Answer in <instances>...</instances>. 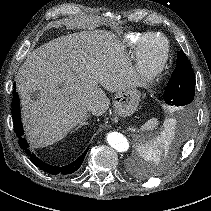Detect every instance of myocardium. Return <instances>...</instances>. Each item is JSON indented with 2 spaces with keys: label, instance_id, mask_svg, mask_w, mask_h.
Listing matches in <instances>:
<instances>
[{
  "label": "myocardium",
  "instance_id": "1",
  "mask_svg": "<svg viewBox=\"0 0 211 211\" xmlns=\"http://www.w3.org/2000/svg\"><path fill=\"white\" fill-rule=\"evenodd\" d=\"M153 37L160 38L163 43L161 57L156 62H150L145 56V45ZM170 55V43L167 37L159 32L146 34L136 47V79L141 85H149L160 75L165 68Z\"/></svg>",
  "mask_w": 211,
  "mask_h": 211
}]
</instances>
